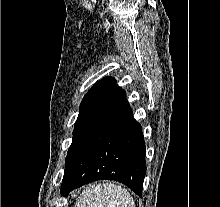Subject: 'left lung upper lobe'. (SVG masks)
I'll return each mask as SVG.
<instances>
[{
	"instance_id": "1",
	"label": "left lung upper lobe",
	"mask_w": 220,
	"mask_h": 207,
	"mask_svg": "<svg viewBox=\"0 0 220 207\" xmlns=\"http://www.w3.org/2000/svg\"><path fill=\"white\" fill-rule=\"evenodd\" d=\"M116 80L112 77H106L97 82L84 96L81 104L80 111L75 123L74 131L85 120V118L91 113L95 106L102 100V98L113 88ZM73 131V132H74Z\"/></svg>"
}]
</instances>
